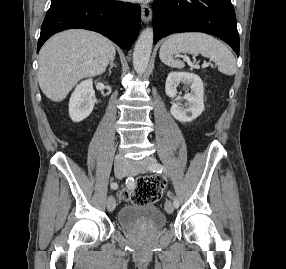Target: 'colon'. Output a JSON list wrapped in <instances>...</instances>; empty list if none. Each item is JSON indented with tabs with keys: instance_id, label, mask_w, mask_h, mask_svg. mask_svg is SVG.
Wrapping results in <instances>:
<instances>
[{
	"instance_id": "5ec220e1",
	"label": "colon",
	"mask_w": 286,
	"mask_h": 269,
	"mask_svg": "<svg viewBox=\"0 0 286 269\" xmlns=\"http://www.w3.org/2000/svg\"><path fill=\"white\" fill-rule=\"evenodd\" d=\"M163 180L158 177H142L137 180L135 190H122L120 197L139 205L154 203L160 196Z\"/></svg>"
}]
</instances>
